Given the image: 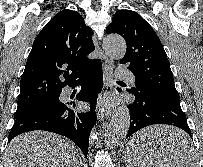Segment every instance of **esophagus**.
I'll return each instance as SVG.
<instances>
[{
  "instance_id": "obj_1",
  "label": "esophagus",
  "mask_w": 203,
  "mask_h": 167,
  "mask_svg": "<svg viewBox=\"0 0 203 167\" xmlns=\"http://www.w3.org/2000/svg\"><path fill=\"white\" fill-rule=\"evenodd\" d=\"M103 94L100 97L97 109V117L100 120H104L111 115L114 108L105 103V99L108 98L113 91V64L112 61L106 59L103 62Z\"/></svg>"
}]
</instances>
